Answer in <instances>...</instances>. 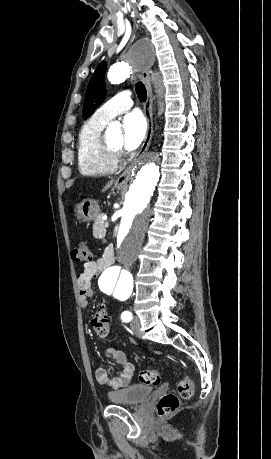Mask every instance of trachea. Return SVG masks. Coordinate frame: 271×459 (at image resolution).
I'll list each match as a JSON object with an SVG mask.
<instances>
[{
	"mask_svg": "<svg viewBox=\"0 0 271 459\" xmlns=\"http://www.w3.org/2000/svg\"><path fill=\"white\" fill-rule=\"evenodd\" d=\"M135 91L137 93L138 99L141 102H145L147 99V90L145 88V85H143L142 82H137L135 85Z\"/></svg>",
	"mask_w": 271,
	"mask_h": 459,
	"instance_id": "obj_1",
	"label": "trachea"
}]
</instances>
